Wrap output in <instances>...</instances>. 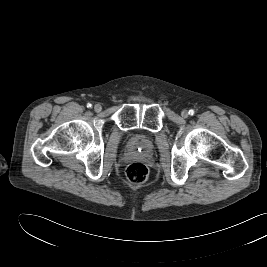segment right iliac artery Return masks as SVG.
Masks as SVG:
<instances>
[{
    "label": "right iliac artery",
    "instance_id": "obj_1",
    "mask_svg": "<svg viewBox=\"0 0 267 267\" xmlns=\"http://www.w3.org/2000/svg\"><path fill=\"white\" fill-rule=\"evenodd\" d=\"M91 106H92V105H91L90 103H87V107H88V108H91Z\"/></svg>",
    "mask_w": 267,
    "mask_h": 267
}]
</instances>
